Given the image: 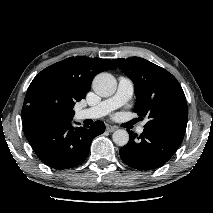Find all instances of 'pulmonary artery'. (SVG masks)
Returning a JSON list of instances; mask_svg holds the SVG:
<instances>
[{
	"instance_id": "1",
	"label": "pulmonary artery",
	"mask_w": 213,
	"mask_h": 213,
	"mask_svg": "<svg viewBox=\"0 0 213 213\" xmlns=\"http://www.w3.org/2000/svg\"><path fill=\"white\" fill-rule=\"evenodd\" d=\"M133 90L134 84L132 80L128 77L120 76L118 79L117 91L112 97L100 102L95 106L78 111L76 117L79 120L103 117L125 104L131 98ZM143 131V125L137 128V132L139 134H141Z\"/></svg>"
}]
</instances>
